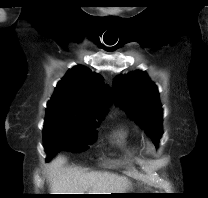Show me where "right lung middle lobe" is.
<instances>
[{"label":"right lung middle lobe","mask_w":208,"mask_h":198,"mask_svg":"<svg viewBox=\"0 0 208 198\" xmlns=\"http://www.w3.org/2000/svg\"><path fill=\"white\" fill-rule=\"evenodd\" d=\"M97 120L100 119L67 113L47 114L43 136L48 158L61 150H87L96 141Z\"/></svg>","instance_id":"dd1d6c3e"}]
</instances>
